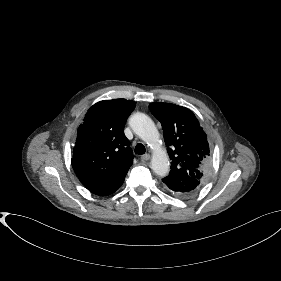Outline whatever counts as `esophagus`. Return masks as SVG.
<instances>
[{
	"label": "esophagus",
	"mask_w": 281,
	"mask_h": 281,
	"mask_svg": "<svg viewBox=\"0 0 281 281\" xmlns=\"http://www.w3.org/2000/svg\"><path fill=\"white\" fill-rule=\"evenodd\" d=\"M150 159V154L146 153L141 156V161H147Z\"/></svg>",
	"instance_id": "esophagus-1"
}]
</instances>
